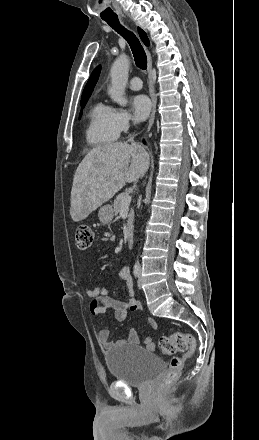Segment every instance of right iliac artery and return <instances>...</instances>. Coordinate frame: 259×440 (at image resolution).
I'll return each mask as SVG.
<instances>
[{"label":"right iliac artery","mask_w":259,"mask_h":440,"mask_svg":"<svg viewBox=\"0 0 259 440\" xmlns=\"http://www.w3.org/2000/svg\"><path fill=\"white\" fill-rule=\"evenodd\" d=\"M133 274H134L135 278H138V277H139V266H138V265H135V266H134V268H133Z\"/></svg>","instance_id":"right-iliac-artery-1"}]
</instances>
